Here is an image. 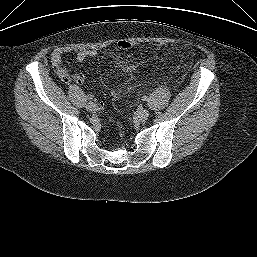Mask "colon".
Returning <instances> with one entry per match:
<instances>
[{"label": "colon", "instance_id": "5ec220e1", "mask_svg": "<svg viewBox=\"0 0 257 257\" xmlns=\"http://www.w3.org/2000/svg\"><path fill=\"white\" fill-rule=\"evenodd\" d=\"M135 42L128 39H122L117 43L118 48L122 50H129L135 47ZM63 80H67V77H62Z\"/></svg>", "mask_w": 257, "mask_h": 257}]
</instances>
